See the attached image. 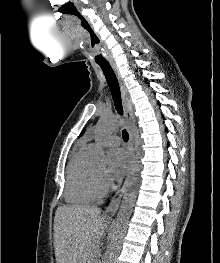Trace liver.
I'll use <instances>...</instances> for the list:
<instances>
[{"mask_svg": "<svg viewBox=\"0 0 220 263\" xmlns=\"http://www.w3.org/2000/svg\"><path fill=\"white\" fill-rule=\"evenodd\" d=\"M106 229L96 206L63 205L54 219L56 263H93L92 250Z\"/></svg>", "mask_w": 220, "mask_h": 263, "instance_id": "1", "label": "liver"}]
</instances>
